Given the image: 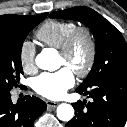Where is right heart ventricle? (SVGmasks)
Here are the masks:
<instances>
[{"label": "right heart ventricle", "mask_w": 127, "mask_h": 127, "mask_svg": "<svg viewBox=\"0 0 127 127\" xmlns=\"http://www.w3.org/2000/svg\"><path fill=\"white\" fill-rule=\"evenodd\" d=\"M77 28L73 21L47 20L36 31V38L45 46L60 49L66 38Z\"/></svg>", "instance_id": "obj_1"}]
</instances>
